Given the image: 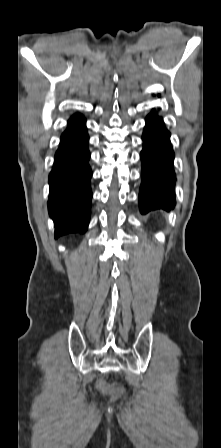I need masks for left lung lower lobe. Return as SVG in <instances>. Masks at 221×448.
Here are the masks:
<instances>
[{"mask_svg": "<svg viewBox=\"0 0 221 448\" xmlns=\"http://www.w3.org/2000/svg\"><path fill=\"white\" fill-rule=\"evenodd\" d=\"M143 150L139 206L142 214L155 209L170 210L175 206L173 187L176 176L173 169L174 152L170 133L155 112L146 118L142 135Z\"/></svg>", "mask_w": 221, "mask_h": 448, "instance_id": "left-lung-lower-lobe-1", "label": "left lung lower lobe"}]
</instances>
